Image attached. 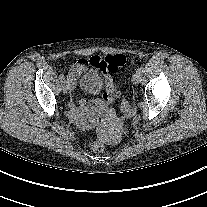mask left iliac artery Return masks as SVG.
Segmentation results:
<instances>
[{"label":"left iliac artery","instance_id":"1","mask_svg":"<svg viewBox=\"0 0 207 207\" xmlns=\"http://www.w3.org/2000/svg\"><path fill=\"white\" fill-rule=\"evenodd\" d=\"M136 72L139 73V74L142 73L143 72V67H139Z\"/></svg>","mask_w":207,"mask_h":207}]
</instances>
